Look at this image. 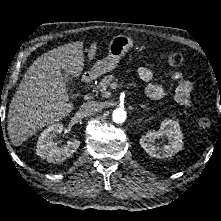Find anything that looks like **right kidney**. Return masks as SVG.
I'll use <instances>...</instances> for the list:
<instances>
[{
	"label": "right kidney",
	"mask_w": 221,
	"mask_h": 221,
	"mask_svg": "<svg viewBox=\"0 0 221 221\" xmlns=\"http://www.w3.org/2000/svg\"><path fill=\"white\" fill-rule=\"evenodd\" d=\"M63 131V125L60 123L52 124L46 128L40 135L37 143L36 154L48 162H62L71 157L79 148L80 141L73 139L65 145L58 147L53 139Z\"/></svg>",
	"instance_id": "right-kidney-1"
}]
</instances>
